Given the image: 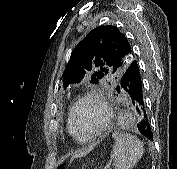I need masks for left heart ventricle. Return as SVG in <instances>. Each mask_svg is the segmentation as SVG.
I'll use <instances>...</instances> for the list:
<instances>
[{"mask_svg": "<svg viewBox=\"0 0 177 169\" xmlns=\"http://www.w3.org/2000/svg\"><path fill=\"white\" fill-rule=\"evenodd\" d=\"M103 120V111L99 104L88 99L81 103L76 113V127L80 135H90L96 131Z\"/></svg>", "mask_w": 177, "mask_h": 169, "instance_id": "obj_1", "label": "left heart ventricle"}]
</instances>
